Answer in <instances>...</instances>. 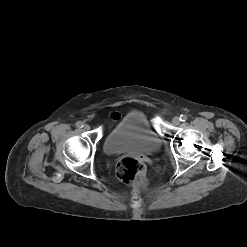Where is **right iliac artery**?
Returning a JSON list of instances; mask_svg holds the SVG:
<instances>
[{
  "instance_id": "82829eb1",
  "label": "right iliac artery",
  "mask_w": 247,
  "mask_h": 247,
  "mask_svg": "<svg viewBox=\"0 0 247 247\" xmlns=\"http://www.w3.org/2000/svg\"><path fill=\"white\" fill-rule=\"evenodd\" d=\"M76 126H77L78 128H82V127H83V123H82L81 121H78V122L76 123Z\"/></svg>"
}]
</instances>
